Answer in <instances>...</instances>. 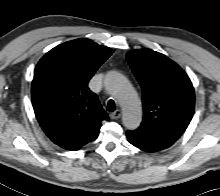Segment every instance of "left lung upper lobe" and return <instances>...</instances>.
Here are the masks:
<instances>
[{
  "label": "left lung upper lobe",
  "mask_w": 220,
  "mask_h": 196,
  "mask_svg": "<svg viewBox=\"0 0 220 196\" xmlns=\"http://www.w3.org/2000/svg\"><path fill=\"white\" fill-rule=\"evenodd\" d=\"M126 57L143 90V121L131 132L164 150L180 138L192 119V83L174 61L151 49L133 50Z\"/></svg>",
  "instance_id": "5c2ea615"
}]
</instances>
